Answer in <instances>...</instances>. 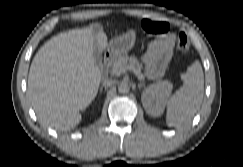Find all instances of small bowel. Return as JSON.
I'll return each mask as SVG.
<instances>
[{"label":"small bowel","mask_w":243,"mask_h":167,"mask_svg":"<svg viewBox=\"0 0 243 167\" xmlns=\"http://www.w3.org/2000/svg\"><path fill=\"white\" fill-rule=\"evenodd\" d=\"M175 44V35L166 34L153 41L143 56L147 75L150 78L162 76L171 59L172 48Z\"/></svg>","instance_id":"obj_1"}]
</instances>
